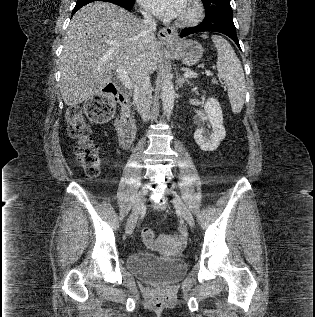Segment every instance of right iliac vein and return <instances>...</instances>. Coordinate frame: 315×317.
<instances>
[{
    "mask_svg": "<svg viewBox=\"0 0 315 317\" xmlns=\"http://www.w3.org/2000/svg\"><path fill=\"white\" fill-rule=\"evenodd\" d=\"M148 193V189L147 187H142L141 190L139 191L137 197H136V201L134 203V207H133V211H132V215H131V218L127 224V227H126V233L128 235L132 234L134 228H135V225H136V222H137V217H138V214L140 213L142 207H143V204H144V201H145V197Z\"/></svg>",
    "mask_w": 315,
    "mask_h": 317,
    "instance_id": "obj_1",
    "label": "right iliac vein"
}]
</instances>
